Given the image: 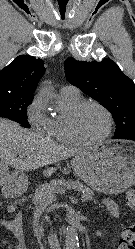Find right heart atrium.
<instances>
[{
    "mask_svg": "<svg viewBox=\"0 0 135 249\" xmlns=\"http://www.w3.org/2000/svg\"><path fill=\"white\" fill-rule=\"evenodd\" d=\"M27 120L39 134H47L51 119L45 114V104L41 95H37L27 107Z\"/></svg>",
    "mask_w": 135,
    "mask_h": 249,
    "instance_id": "obj_1",
    "label": "right heart atrium"
}]
</instances>
